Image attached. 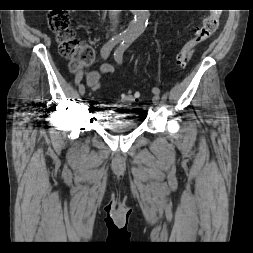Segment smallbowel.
Returning a JSON list of instances; mask_svg holds the SVG:
<instances>
[{"instance_id":"1","label":"small bowel","mask_w":253,"mask_h":253,"mask_svg":"<svg viewBox=\"0 0 253 253\" xmlns=\"http://www.w3.org/2000/svg\"><path fill=\"white\" fill-rule=\"evenodd\" d=\"M115 72L114 67L111 64H102L97 69L92 70L89 72L86 76V83L88 87L91 88V90L96 91L103 87V83L101 81V78L103 75H113ZM83 72L80 71L77 74V77H82Z\"/></svg>"}]
</instances>
